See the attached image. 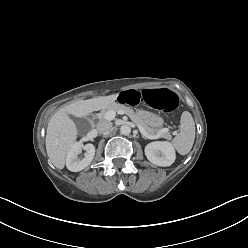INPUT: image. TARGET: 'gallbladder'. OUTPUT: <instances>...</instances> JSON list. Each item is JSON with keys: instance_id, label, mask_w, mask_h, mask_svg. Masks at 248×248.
<instances>
[{"instance_id": "bac80fb5", "label": "gallbladder", "mask_w": 248, "mask_h": 248, "mask_svg": "<svg viewBox=\"0 0 248 248\" xmlns=\"http://www.w3.org/2000/svg\"><path fill=\"white\" fill-rule=\"evenodd\" d=\"M72 120L76 124L77 128L81 132H86L89 127V122L86 119L78 118V117H72Z\"/></svg>"}]
</instances>
